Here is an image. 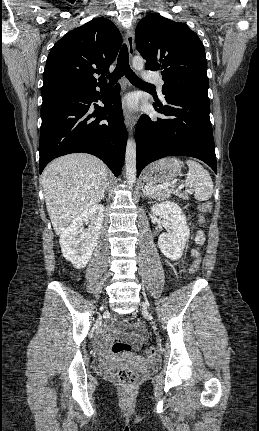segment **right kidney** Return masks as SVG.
<instances>
[{
    "label": "right kidney",
    "mask_w": 259,
    "mask_h": 431,
    "mask_svg": "<svg viewBox=\"0 0 259 431\" xmlns=\"http://www.w3.org/2000/svg\"><path fill=\"white\" fill-rule=\"evenodd\" d=\"M104 212L105 208L102 204L92 206L75 217L60 237L59 243L63 256L77 269L84 268L92 256L100 234ZM84 223H90L86 231L83 230Z\"/></svg>",
    "instance_id": "right-kidney-1"
}]
</instances>
